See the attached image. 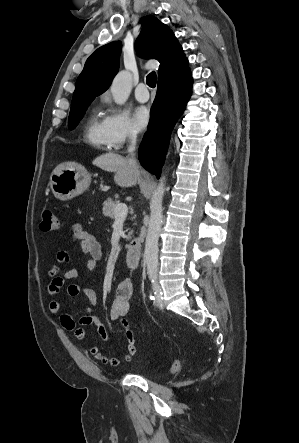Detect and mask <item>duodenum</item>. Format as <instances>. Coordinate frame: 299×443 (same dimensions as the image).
<instances>
[{
  "label": "duodenum",
  "mask_w": 299,
  "mask_h": 443,
  "mask_svg": "<svg viewBox=\"0 0 299 443\" xmlns=\"http://www.w3.org/2000/svg\"><path fill=\"white\" fill-rule=\"evenodd\" d=\"M142 252V245L140 239H133L128 247L126 252V260L127 264L131 267H136L139 265L140 258Z\"/></svg>",
  "instance_id": "1"
}]
</instances>
